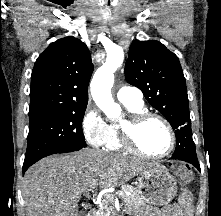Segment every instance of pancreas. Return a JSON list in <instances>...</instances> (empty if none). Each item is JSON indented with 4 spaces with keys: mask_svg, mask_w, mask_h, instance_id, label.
<instances>
[{
    "mask_svg": "<svg viewBox=\"0 0 221 216\" xmlns=\"http://www.w3.org/2000/svg\"><path fill=\"white\" fill-rule=\"evenodd\" d=\"M126 191H130L131 194L126 195ZM119 196L122 199V205L127 212H131L134 207L143 204L137 189L132 186H125ZM94 216H116L113 206V197H105L102 206L96 211Z\"/></svg>",
    "mask_w": 221,
    "mask_h": 216,
    "instance_id": "pancreas-1",
    "label": "pancreas"
}]
</instances>
